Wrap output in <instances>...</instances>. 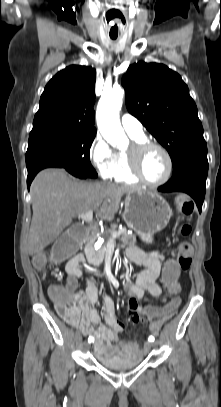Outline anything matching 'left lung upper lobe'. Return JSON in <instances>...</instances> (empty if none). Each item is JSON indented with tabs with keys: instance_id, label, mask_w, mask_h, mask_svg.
I'll list each match as a JSON object with an SVG mask.
<instances>
[{
	"instance_id": "left-lung-upper-lobe-1",
	"label": "left lung upper lobe",
	"mask_w": 221,
	"mask_h": 407,
	"mask_svg": "<svg viewBox=\"0 0 221 407\" xmlns=\"http://www.w3.org/2000/svg\"><path fill=\"white\" fill-rule=\"evenodd\" d=\"M126 106L167 149L173 169L207 153L197 107L181 76L163 64L139 62L122 78Z\"/></svg>"
}]
</instances>
